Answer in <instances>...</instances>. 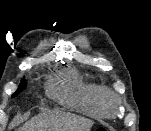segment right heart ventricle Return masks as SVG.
<instances>
[{
    "label": "right heart ventricle",
    "mask_w": 151,
    "mask_h": 131,
    "mask_svg": "<svg viewBox=\"0 0 151 131\" xmlns=\"http://www.w3.org/2000/svg\"><path fill=\"white\" fill-rule=\"evenodd\" d=\"M47 93L61 104L91 116H106L103 98L108 91L96 83L86 81L74 70L62 72L52 78L47 85Z\"/></svg>",
    "instance_id": "right-heart-ventricle-1"
}]
</instances>
